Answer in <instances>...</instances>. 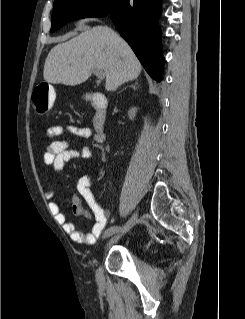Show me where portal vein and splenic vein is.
I'll return each mask as SVG.
<instances>
[{"label":"portal vein and splenic vein","mask_w":245,"mask_h":319,"mask_svg":"<svg viewBox=\"0 0 245 319\" xmlns=\"http://www.w3.org/2000/svg\"><path fill=\"white\" fill-rule=\"evenodd\" d=\"M93 73L100 80L104 79V77H105L104 72L102 70H100V69L93 70Z\"/></svg>","instance_id":"18ae733b"}]
</instances>
